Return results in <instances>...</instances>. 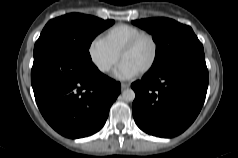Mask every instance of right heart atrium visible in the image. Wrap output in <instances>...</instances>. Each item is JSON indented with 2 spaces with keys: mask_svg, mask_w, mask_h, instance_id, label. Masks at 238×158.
<instances>
[{
  "mask_svg": "<svg viewBox=\"0 0 238 158\" xmlns=\"http://www.w3.org/2000/svg\"><path fill=\"white\" fill-rule=\"evenodd\" d=\"M88 54L92 63L102 73H108L119 60V54L102 37H96L90 42Z\"/></svg>",
  "mask_w": 238,
  "mask_h": 158,
  "instance_id": "d8ad5b80",
  "label": "right heart atrium"
}]
</instances>
